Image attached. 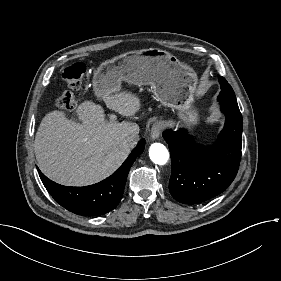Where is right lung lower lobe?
<instances>
[{
  "mask_svg": "<svg viewBox=\"0 0 281 281\" xmlns=\"http://www.w3.org/2000/svg\"><path fill=\"white\" fill-rule=\"evenodd\" d=\"M144 147L142 139L115 173L94 185L66 187L51 181L38 169L39 176L50 195L67 210L83 216L103 215L121 200L128 172Z\"/></svg>",
  "mask_w": 281,
  "mask_h": 281,
  "instance_id": "obj_1",
  "label": "right lung lower lobe"
}]
</instances>
